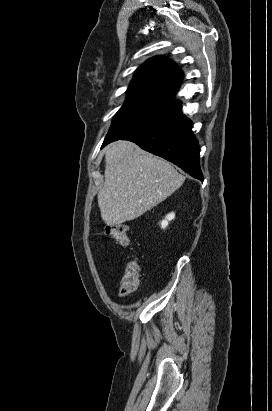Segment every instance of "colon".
<instances>
[{
  "label": "colon",
  "instance_id": "colon-1",
  "mask_svg": "<svg viewBox=\"0 0 272 411\" xmlns=\"http://www.w3.org/2000/svg\"><path fill=\"white\" fill-rule=\"evenodd\" d=\"M105 235L122 245H127L130 241L128 228L123 224L107 225L105 227ZM140 272L141 267L138 262L131 261L126 265L120 281V294L122 296L130 295L137 290Z\"/></svg>",
  "mask_w": 272,
  "mask_h": 411
}]
</instances>
